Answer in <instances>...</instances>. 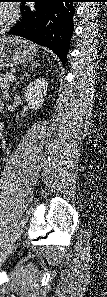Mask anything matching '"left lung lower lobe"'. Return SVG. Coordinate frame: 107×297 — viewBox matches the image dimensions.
Instances as JSON below:
<instances>
[{"instance_id": "0a47b994", "label": "left lung lower lobe", "mask_w": 107, "mask_h": 297, "mask_svg": "<svg viewBox=\"0 0 107 297\" xmlns=\"http://www.w3.org/2000/svg\"><path fill=\"white\" fill-rule=\"evenodd\" d=\"M29 2V1H22ZM32 8L23 6L22 17L7 32L51 50L65 64L73 26L74 0H32Z\"/></svg>"}]
</instances>
